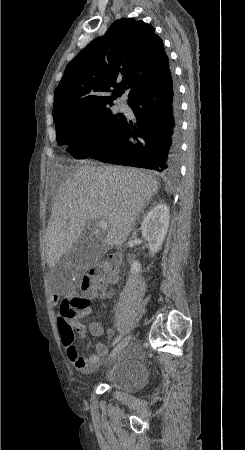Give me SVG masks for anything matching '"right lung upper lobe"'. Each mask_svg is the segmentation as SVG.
<instances>
[{
    "label": "right lung upper lobe",
    "mask_w": 245,
    "mask_h": 450,
    "mask_svg": "<svg viewBox=\"0 0 245 450\" xmlns=\"http://www.w3.org/2000/svg\"><path fill=\"white\" fill-rule=\"evenodd\" d=\"M166 69L168 57L154 28L143 21L122 18L67 65L55 90L53 109L113 105L125 90L133 98Z\"/></svg>",
    "instance_id": "cb5924a9"
}]
</instances>
